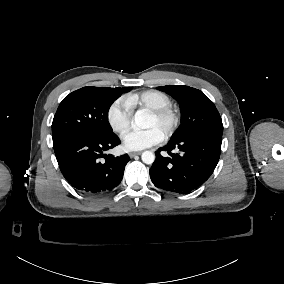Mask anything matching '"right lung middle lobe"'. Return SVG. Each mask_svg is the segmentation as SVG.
Returning a JSON list of instances; mask_svg holds the SVG:
<instances>
[{
    "label": "right lung middle lobe",
    "instance_id": "obj_1",
    "mask_svg": "<svg viewBox=\"0 0 284 284\" xmlns=\"http://www.w3.org/2000/svg\"><path fill=\"white\" fill-rule=\"evenodd\" d=\"M130 88L83 87L60 103L52 123L53 144L73 135H107L111 104Z\"/></svg>",
    "mask_w": 284,
    "mask_h": 284
}]
</instances>
